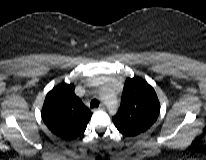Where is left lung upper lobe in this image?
Wrapping results in <instances>:
<instances>
[{
    "label": "left lung upper lobe",
    "mask_w": 206,
    "mask_h": 160,
    "mask_svg": "<svg viewBox=\"0 0 206 160\" xmlns=\"http://www.w3.org/2000/svg\"><path fill=\"white\" fill-rule=\"evenodd\" d=\"M159 112L160 103L153 87L139 77L128 78L120 108L112 120L123 135L134 137L148 130Z\"/></svg>",
    "instance_id": "5c2ea615"
}]
</instances>
